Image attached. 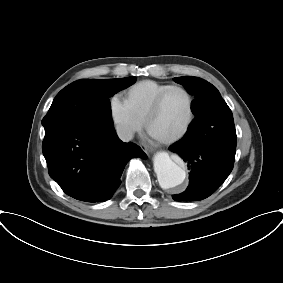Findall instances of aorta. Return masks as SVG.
Listing matches in <instances>:
<instances>
[{
  "label": "aorta",
  "mask_w": 283,
  "mask_h": 283,
  "mask_svg": "<svg viewBox=\"0 0 283 283\" xmlns=\"http://www.w3.org/2000/svg\"><path fill=\"white\" fill-rule=\"evenodd\" d=\"M153 166L159 185L163 189L175 188L185 180V170L174 162L166 152H158L154 156Z\"/></svg>",
  "instance_id": "obj_1"
}]
</instances>
